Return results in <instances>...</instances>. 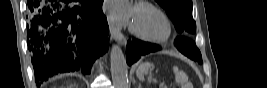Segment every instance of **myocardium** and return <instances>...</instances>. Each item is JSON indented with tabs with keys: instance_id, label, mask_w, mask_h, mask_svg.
Instances as JSON below:
<instances>
[{
	"instance_id": "myocardium-1",
	"label": "myocardium",
	"mask_w": 267,
	"mask_h": 88,
	"mask_svg": "<svg viewBox=\"0 0 267 88\" xmlns=\"http://www.w3.org/2000/svg\"><path fill=\"white\" fill-rule=\"evenodd\" d=\"M139 9L149 11L153 13L154 15H156L165 25V33L160 36L150 35L148 33L141 31L139 28H137L133 24L130 25V28H129L130 32L143 40L153 42V43H164L168 41L171 38L172 32H173L172 25L168 17L161 10H159L155 6L149 3H146V2H139L135 4L133 10L135 11Z\"/></svg>"
}]
</instances>
